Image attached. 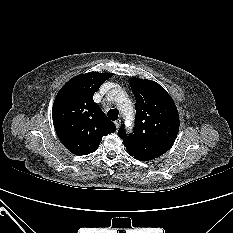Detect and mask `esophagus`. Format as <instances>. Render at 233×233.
Segmentation results:
<instances>
[{"label":"esophagus","instance_id":"34e87169","mask_svg":"<svg viewBox=\"0 0 233 233\" xmlns=\"http://www.w3.org/2000/svg\"><path fill=\"white\" fill-rule=\"evenodd\" d=\"M115 125H116V128L118 129V128L120 127V125H121V120H120V119H117V120L115 121Z\"/></svg>","mask_w":233,"mask_h":233}]
</instances>
